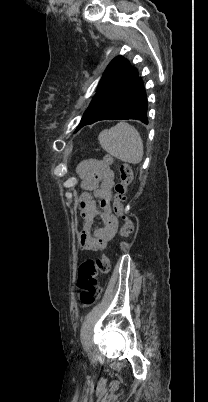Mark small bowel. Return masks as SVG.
Segmentation results:
<instances>
[{
    "label": "small bowel",
    "mask_w": 208,
    "mask_h": 402,
    "mask_svg": "<svg viewBox=\"0 0 208 402\" xmlns=\"http://www.w3.org/2000/svg\"><path fill=\"white\" fill-rule=\"evenodd\" d=\"M76 170L85 189L78 200L84 220L78 241L84 250H99L115 236L119 225L111 206L115 174L110 165L96 158L82 161ZM96 219L100 226L95 225Z\"/></svg>",
    "instance_id": "obj_1"
}]
</instances>
